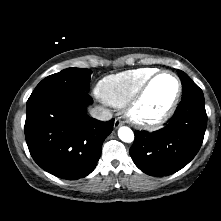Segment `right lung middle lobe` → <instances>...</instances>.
<instances>
[{"label":"right lung middle lobe","mask_w":221,"mask_h":221,"mask_svg":"<svg viewBox=\"0 0 221 221\" xmlns=\"http://www.w3.org/2000/svg\"><path fill=\"white\" fill-rule=\"evenodd\" d=\"M92 71L84 68H68L43 79L32 92L27 103L46 95L61 92L83 90L88 91Z\"/></svg>","instance_id":"dd1d6c3e"}]
</instances>
